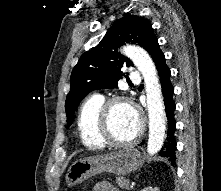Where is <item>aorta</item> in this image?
Returning <instances> with one entry per match:
<instances>
[{"label":"aorta","instance_id":"1","mask_svg":"<svg viewBox=\"0 0 221 191\" xmlns=\"http://www.w3.org/2000/svg\"><path fill=\"white\" fill-rule=\"evenodd\" d=\"M123 53L132 60L144 78L149 116L147 151L150 155H154L161 150L166 131L164 104L158 73L150 55L144 49L128 45L123 48Z\"/></svg>","mask_w":221,"mask_h":191}]
</instances>
